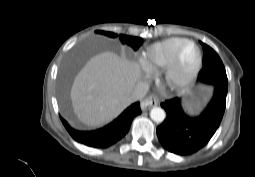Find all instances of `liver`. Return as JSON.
I'll return each mask as SVG.
<instances>
[{
  "mask_svg": "<svg viewBox=\"0 0 255 177\" xmlns=\"http://www.w3.org/2000/svg\"><path fill=\"white\" fill-rule=\"evenodd\" d=\"M139 78V66L113 52L92 57L76 75L71 87L76 116L91 127L112 121L129 105L127 98Z\"/></svg>",
  "mask_w": 255,
  "mask_h": 177,
  "instance_id": "obj_1",
  "label": "liver"
}]
</instances>
